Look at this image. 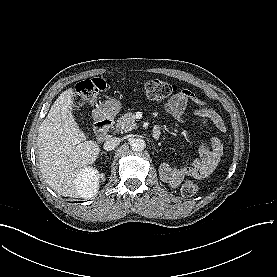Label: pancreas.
Wrapping results in <instances>:
<instances>
[{
    "label": "pancreas",
    "instance_id": "pancreas-1",
    "mask_svg": "<svg viewBox=\"0 0 277 277\" xmlns=\"http://www.w3.org/2000/svg\"><path fill=\"white\" fill-rule=\"evenodd\" d=\"M116 128L119 131L128 132L136 128L135 115L127 112L117 120Z\"/></svg>",
    "mask_w": 277,
    "mask_h": 277
}]
</instances>
